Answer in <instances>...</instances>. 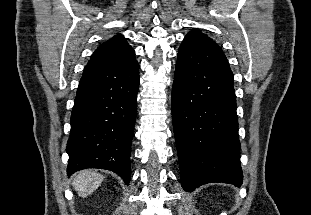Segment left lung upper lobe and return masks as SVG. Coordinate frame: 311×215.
Wrapping results in <instances>:
<instances>
[{
	"label": "left lung upper lobe",
	"mask_w": 311,
	"mask_h": 215,
	"mask_svg": "<svg viewBox=\"0 0 311 215\" xmlns=\"http://www.w3.org/2000/svg\"><path fill=\"white\" fill-rule=\"evenodd\" d=\"M187 35H191V36H203L205 34H203L202 32H200L198 29H194L191 32H189Z\"/></svg>",
	"instance_id": "5c2ea615"
}]
</instances>
